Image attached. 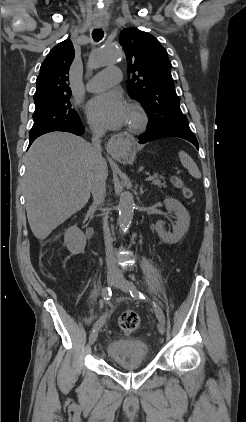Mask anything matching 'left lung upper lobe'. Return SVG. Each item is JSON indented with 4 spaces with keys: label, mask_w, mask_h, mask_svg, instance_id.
Wrapping results in <instances>:
<instances>
[{
    "label": "left lung upper lobe",
    "mask_w": 246,
    "mask_h": 422,
    "mask_svg": "<svg viewBox=\"0 0 246 422\" xmlns=\"http://www.w3.org/2000/svg\"><path fill=\"white\" fill-rule=\"evenodd\" d=\"M128 63L127 90L148 112V129L189 126L180 109L171 76L167 51L151 34L136 28L124 29L119 37Z\"/></svg>",
    "instance_id": "obj_1"
}]
</instances>
